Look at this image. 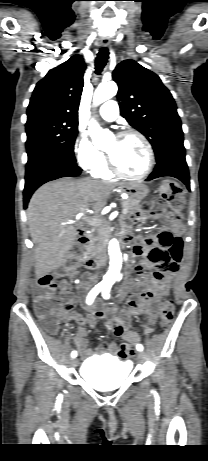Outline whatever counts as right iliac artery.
Here are the masks:
<instances>
[{"label":"right iliac artery","instance_id":"1","mask_svg":"<svg viewBox=\"0 0 208 461\" xmlns=\"http://www.w3.org/2000/svg\"><path fill=\"white\" fill-rule=\"evenodd\" d=\"M104 287L101 286V285H96L91 291L90 293L88 294L87 296V303L88 304H91L94 300V298L96 297V295H98V293L103 289ZM71 356L73 358H75L77 356V352L76 351H72L71 353Z\"/></svg>","mask_w":208,"mask_h":461}]
</instances>
